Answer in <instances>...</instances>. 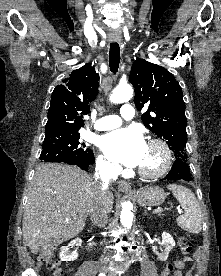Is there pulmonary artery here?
Segmentation results:
<instances>
[{"instance_id": "pulmonary-artery-1", "label": "pulmonary artery", "mask_w": 221, "mask_h": 276, "mask_svg": "<svg viewBox=\"0 0 221 276\" xmlns=\"http://www.w3.org/2000/svg\"><path fill=\"white\" fill-rule=\"evenodd\" d=\"M134 117V108L130 104H124L120 108V116L109 115L100 118L96 124L95 128L97 130H110L121 125L122 119L130 120Z\"/></svg>"}]
</instances>
